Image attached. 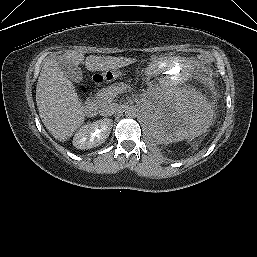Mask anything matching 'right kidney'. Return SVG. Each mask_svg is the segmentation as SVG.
Masks as SVG:
<instances>
[{
    "label": "right kidney",
    "mask_w": 257,
    "mask_h": 257,
    "mask_svg": "<svg viewBox=\"0 0 257 257\" xmlns=\"http://www.w3.org/2000/svg\"><path fill=\"white\" fill-rule=\"evenodd\" d=\"M113 127L111 119H102L82 126L73 138V145L77 149L85 150L104 143Z\"/></svg>",
    "instance_id": "right-kidney-1"
}]
</instances>
